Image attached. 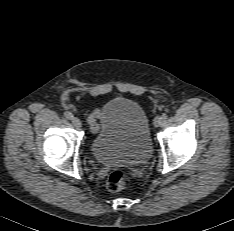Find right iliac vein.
Returning <instances> with one entry per match:
<instances>
[{"label":"right iliac vein","mask_w":234,"mask_h":231,"mask_svg":"<svg viewBox=\"0 0 234 231\" xmlns=\"http://www.w3.org/2000/svg\"><path fill=\"white\" fill-rule=\"evenodd\" d=\"M71 121H72L73 125H74L76 128H80L81 125H82L80 119L77 118V117H73V118L71 119Z\"/></svg>","instance_id":"63e3f726"}]
</instances>
